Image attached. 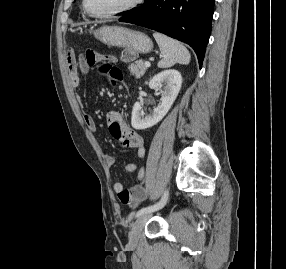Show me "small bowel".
Returning <instances> with one entry per match:
<instances>
[{"mask_svg": "<svg viewBox=\"0 0 286 269\" xmlns=\"http://www.w3.org/2000/svg\"><path fill=\"white\" fill-rule=\"evenodd\" d=\"M93 52V51H92ZM95 57L89 58L88 55L85 58L84 56H76L75 53L70 50L67 55V68H68V78L69 84L71 87H78L80 85V73L87 72L89 67L100 63L103 61L116 62V58L112 55H101L94 52ZM83 120L86 127L92 131L96 130V124L91 114L84 113ZM115 121H121L120 129L125 137L128 148L136 149L137 156L139 159L145 157L146 150L144 147L143 138L134 130L130 129L120 114L112 112L108 115L109 128L115 126ZM116 162V158L113 155H108L106 157L107 165L111 166ZM124 172H134L138 170L137 179L139 183L135 185L131 190L124 189L123 184L120 181H116L113 184V190L118 195L122 204L133 208L145 200L147 192L144 186L145 179V168L139 167L137 163H128L120 168Z\"/></svg>", "mask_w": 286, "mask_h": 269, "instance_id": "1", "label": "small bowel"}]
</instances>
